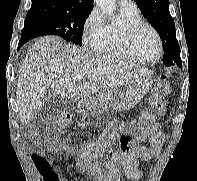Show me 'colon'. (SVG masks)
<instances>
[{"label": "colon", "mask_w": 197, "mask_h": 181, "mask_svg": "<svg viewBox=\"0 0 197 181\" xmlns=\"http://www.w3.org/2000/svg\"><path fill=\"white\" fill-rule=\"evenodd\" d=\"M169 90L170 86L167 78L165 76L159 77L155 83L153 95L150 101L152 112L143 113L137 122V138L143 136L148 130L152 128L157 116L164 115L166 111V97L169 93ZM69 121L70 115L68 113H62L54 117L51 120L50 125L53 128L62 129L68 125ZM121 146L123 150L127 151L130 149L128 143L125 140H121Z\"/></svg>", "instance_id": "1"}]
</instances>
